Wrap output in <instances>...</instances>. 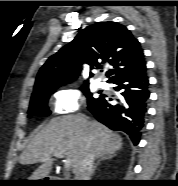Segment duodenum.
Segmentation results:
<instances>
[{"label":"duodenum","mask_w":178,"mask_h":186,"mask_svg":"<svg viewBox=\"0 0 178 186\" xmlns=\"http://www.w3.org/2000/svg\"><path fill=\"white\" fill-rule=\"evenodd\" d=\"M50 178H56V177L52 176V177H50Z\"/></svg>","instance_id":"obj_1"}]
</instances>
